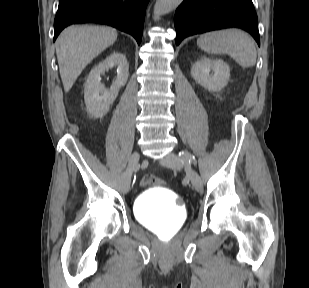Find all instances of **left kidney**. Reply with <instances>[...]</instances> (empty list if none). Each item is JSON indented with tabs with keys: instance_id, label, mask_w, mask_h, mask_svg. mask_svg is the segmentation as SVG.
Here are the masks:
<instances>
[{
	"instance_id": "obj_1",
	"label": "left kidney",
	"mask_w": 309,
	"mask_h": 288,
	"mask_svg": "<svg viewBox=\"0 0 309 288\" xmlns=\"http://www.w3.org/2000/svg\"><path fill=\"white\" fill-rule=\"evenodd\" d=\"M191 76L208 91H220L228 83L230 68L222 59L202 57L193 64Z\"/></svg>"
}]
</instances>
